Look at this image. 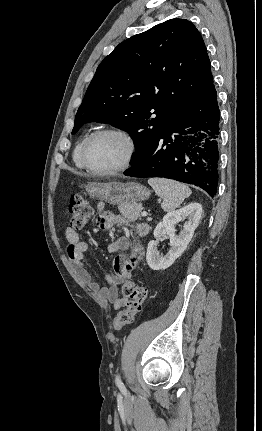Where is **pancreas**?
<instances>
[{"label":"pancreas","mask_w":262,"mask_h":431,"mask_svg":"<svg viewBox=\"0 0 262 431\" xmlns=\"http://www.w3.org/2000/svg\"><path fill=\"white\" fill-rule=\"evenodd\" d=\"M120 213L130 221H135L140 217V212L142 207L139 205L131 206V205H120L118 207Z\"/></svg>","instance_id":"cf45deb5"}]
</instances>
